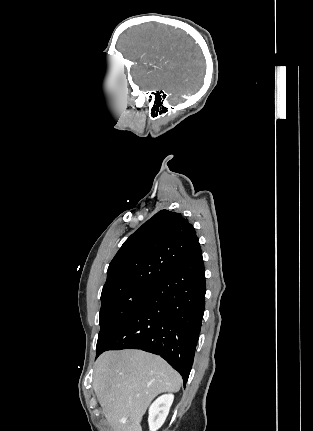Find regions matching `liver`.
Here are the masks:
<instances>
[{
  "label": "liver",
  "mask_w": 313,
  "mask_h": 431,
  "mask_svg": "<svg viewBox=\"0 0 313 431\" xmlns=\"http://www.w3.org/2000/svg\"><path fill=\"white\" fill-rule=\"evenodd\" d=\"M180 386V375L167 362L141 350L108 351L94 365L93 388L112 431H142L151 401Z\"/></svg>",
  "instance_id": "liver-1"
}]
</instances>
